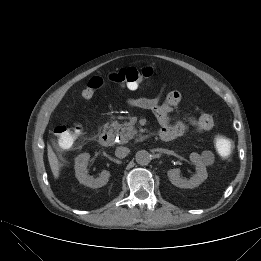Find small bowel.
Masks as SVG:
<instances>
[{
    "mask_svg": "<svg viewBox=\"0 0 261 261\" xmlns=\"http://www.w3.org/2000/svg\"><path fill=\"white\" fill-rule=\"evenodd\" d=\"M129 90L137 89L138 85H124ZM182 95L178 91H171L162 100L161 93L155 97H139L130 98L126 104L131 107L150 110L156 116L161 128L158 135L162 140L171 141L181 137L187 131L196 133H205L210 131L214 126V120L208 113H200L195 117L185 122L172 123L169 120V115L182 102Z\"/></svg>",
    "mask_w": 261,
    "mask_h": 261,
    "instance_id": "obj_1",
    "label": "small bowel"
}]
</instances>
